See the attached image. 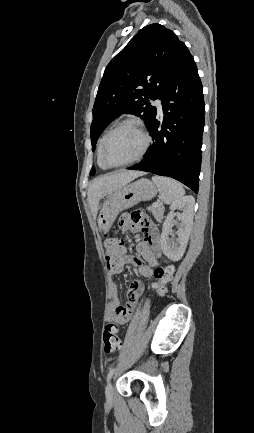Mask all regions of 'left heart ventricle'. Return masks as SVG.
Masks as SVG:
<instances>
[{
	"label": "left heart ventricle",
	"mask_w": 254,
	"mask_h": 433,
	"mask_svg": "<svg viewBox=\"0 0 254 433\" xmlns=\"http://www.w3.org/2000/svg\"><path fill=\"white\" fill-rule=\"evenodd\" d=\"M144 143L143 136L134 126L127 125L117 130L104 148L105 160L120 164L134 158Z\"/></svg>",
	"instance_id": "obj_1"
}]
</instances>
